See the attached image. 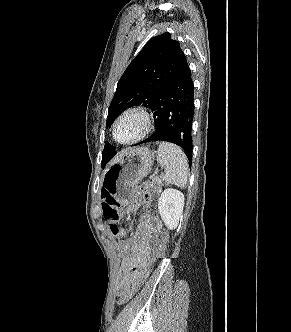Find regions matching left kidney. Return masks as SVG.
<instances>
[{
	"instance_id": "left-kidney-1",
	"label": "left kidney",
	"mask_w": 291,
	"mask_h": 332,
	"mask_svg": "<svg viewBox=\"0 0 291 332\" xmlns=\"http://www.w3.org/2000/svg\"><path fill=\"white\" fill-rule=\"evenodd\" d=\"M184 194L176 189H165L158 201L159 214L170 230L178 226L184 207Z\"/></svg>"
}]
</instances>
